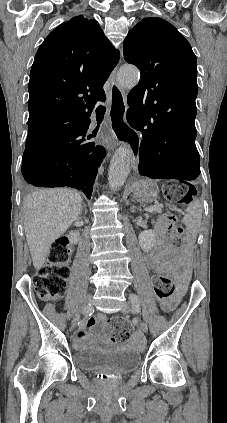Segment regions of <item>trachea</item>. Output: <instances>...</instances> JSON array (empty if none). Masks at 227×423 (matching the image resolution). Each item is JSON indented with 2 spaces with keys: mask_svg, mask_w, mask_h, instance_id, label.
<instances>
[{
  "mask_svg": "<svg viewBox=\"0 0 227 423\" xmlns=\"http://www.w3.org/2000/svg\"><path fill=\"white\" fill-rule=\"evenodd\" d=\"M105 112H106V107H104L103 105H99L96 108V115L97 116L103 117L105 115Z\"/></svg>",
  "mask_w": 227,
  "mask_h": 423,
  "instance_id": "3493384b",
  "label": "trachea"
}]
</instances>
